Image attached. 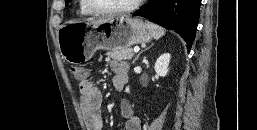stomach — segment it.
<instances>
[{
    "label": "stomach",
    "instance_id": "obj_1",
    "mask_svg": "<svg viewBox=\"0 0 257 130\" xmlns=\"http://www.w3.org/2000/svg\"><path fill=\"white\" fill-rule=\"evenodd\" d=\"M151 34L140 19L111 17L100 22L69 21L58 30L59 50L69 63L91 59L97 50H117L147 43Z\"/></svg>",
    "mask_w": 257,
    "mask_h": 130
}]
</instances>
